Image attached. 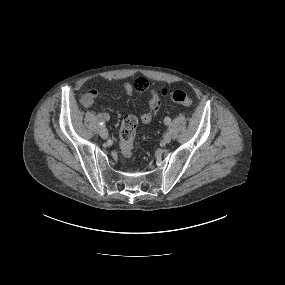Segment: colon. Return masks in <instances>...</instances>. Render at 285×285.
<instances>
[{
    "label": "colon",
    "mask_w": 285,
    "mask_h": 285,
    "mask_svg": "<svg viewBox=\"0 0 285 285\" xmlns=\"http://www.w3.org/2000/svg\"><path fill=\"white\" fill-rule=\"evenodd\" d=\"M148 81L145 78H138L135 82L137 90L146 88ZM171 99L185 107L192 105L191 97L183 90H175L171 94ZM137 118L133 115H127L123 118L119 131L120 149L124 157L130 158L134 151V142L137 134Z\"/></svg>",
    "instance_id": "1"
}]
</instances>
